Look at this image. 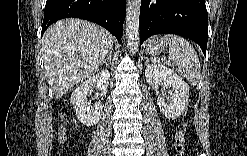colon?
Instances as JSON below:
<instances>
[{"label": "colon", "mask_w": 247, "mask_h": 156, "mask_svg": "<svg viewBox=\"0 0 247 156\" xmlns=\"http://www.w3.org/2000/svg\"><path fill=\"white\" fill-rule=\"evenodd\" d=\"M59 140L61 142L65 141L66 138V129L64 125H61L59 128ZM184 149V131L180 129L176 133V152L177 154L181 155Z\"/></svg>", "instance_id": "1"}]
</instances>
